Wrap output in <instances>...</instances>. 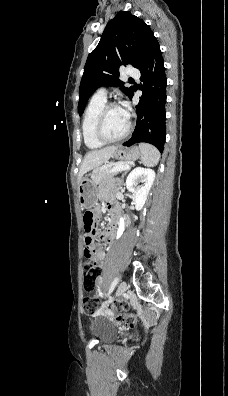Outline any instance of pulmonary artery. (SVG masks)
<instances>
[{"mask_svg": "<svg viewBox=\"0 0 228 396\" xmlns=\"http://www.w3.org/2000/svg\"><path fill=\"white\" fill-rule=\"evenodd\" d=\"M127 74H128L130 77L138 78V77L140 76V71H139L138 69H136V68H131V69L128 70ZM95 96L106 99V96H107V90H106V88H104V87L99 88V89L95 92Z\"/></svg>", "mask_w": 228, "mask_h": 396, "instance_id": "1", "label": "pulmonary artery"}]
</instances>
